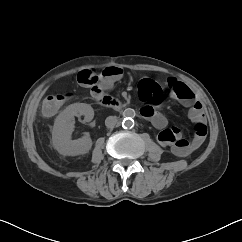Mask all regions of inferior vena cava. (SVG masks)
Masks as SVG:
<instances>
[{
	"label": "inferior vena cava",
	"instance_id": "obj_1",
	"mask_svg": "<svg viewBox=\"0 0 242 242\" xmlns=\"http://www.w3.org/2000/svg\"><path fill=\"white\" fill-rule=\"evenodd\" d=\"M118 122V118L116 116H108L105 120V125L108 128H113Z\"/></svg>",
	"mask_w": 242,
	"mask_h": 242
}]
</instances>
